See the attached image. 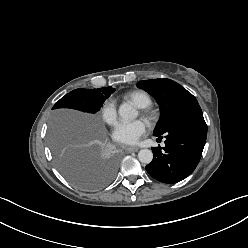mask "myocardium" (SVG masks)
I'll return each instance as SVG.
<instances>
[{
	"label": "myocardium",
	"mask_w": 248,
	"mask_h": 248,
	"mask_svg": "<svg viewBox=\"0 0 248 248\" xmlns=\"http://www.w3.org/2000/svg\"><path fill=\"white\" fill-rule=\"evenodd\" d=\"M142 114L149 121L154 119V112L150 108H142Z\"/></svg>",
	"instance_id": "obj_1"
}]
</instances>
